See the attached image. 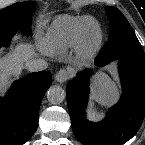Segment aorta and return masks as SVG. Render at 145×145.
<instances>
[{
	"instance_id": "obj_1",
	"label": "aorta",
	"mask_w": 145,
	"mask_h": 145,
	"mask_svg": "<svg viewBox=\"0 0 145 145\" xmlns=\"http://www.w3.org/2000/svg\"><path fill=\"white\" fill-rule=\"evenodd\" d=\"M66 93L60 86H51L47 91V99L52 104H60L64 101Z\"/></svg>"
}]
</instances>
